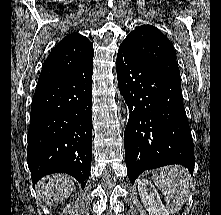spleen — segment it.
<instances>
[{
	"label": "spleen",
	"mask_w": 221,
	"mask_h": 215,
	"mask_svg": "<svg viewBox=\"0 0 221 215\" xmlns=\"http://www.w3.org/2000/svg\"><path fill=\"white\" fill-rule=\"evenodd\" d=\"M153 182L165 196L171 212H177L187 202L193 184L188 170L179 165L165 166L152 175Z\"/></svg>",
	"instance_id": "spleen-1"
}]
</instances>
